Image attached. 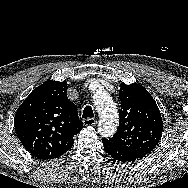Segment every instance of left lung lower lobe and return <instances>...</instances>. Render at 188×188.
Instances as JSON below:
<instances>
[{
    "label": "left lung lower lobe",
    "instance_id": "left-lung-lower-lobe-1",
    "mask_svg": "<svg viewBox=\"0 0 188 188\" xmlns=\"http://www.w3.org/2000/svg\"><path fill=\"white\" fill-rule=\"evenodd\" d=\"M102 143L106 152L115 160L122 162H133L140 160V158L135 154L116 146L105 138H102Z\"/></svg>",
    "mask_w": 188,
    "mask_h": 188
}]
</instances>
